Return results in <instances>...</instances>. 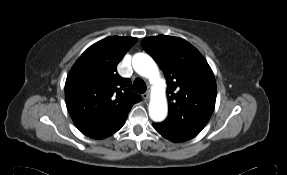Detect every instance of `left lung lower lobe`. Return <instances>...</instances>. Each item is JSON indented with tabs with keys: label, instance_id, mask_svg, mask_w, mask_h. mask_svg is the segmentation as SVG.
<instances>
[{
	"label": "left lung lower lobe",
	"instance_id": "left-lung-lower-lobe-1",
	"mask_svg": "<svg viewBox=\"0 0 287 175\" xmlns=\"http://www.w3.org/2000/svg\"><path fill=\"white\" fill-rule=\"evenodd\" d=\"M153 126L158 133H160L163 137L172 142H184L189 140V138H187L186 136L177 133L176 131L168 128L162 123H156Z\"/></svg>",
	"mask_w": 287,
	"mask_h": 175
}]
</instances>
